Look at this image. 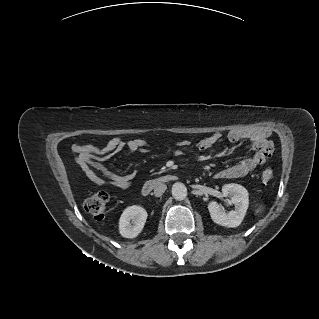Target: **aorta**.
<instances>
[{
	"label": "aorta",
	"instance_id": "obj_1",
	"mask_svg": "<svg viewBox=\"0 0 319 319\" xmlns=\"http://www.w3.org/2000/svg\"><path fill=\"white\" fill-rule=\"evenodd\" d=\"M172 196L176 200H184L187 196V188L186 186L181 182H176L172 186Z\"/></svg>",
	"mask_w": 319,
	"mask_h": 319
}]
</instances>
